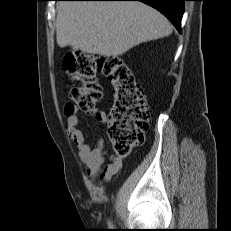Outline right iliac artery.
<instances>
[{
	"label": "right iliac artery",
	"mask_w": 231,
	"mask_h": 231,
	"mask_svg": "<svg viewBox=\"0 0 231 231\" xmlns=\"http://www.w3.org/2000/svg\"><path fill=\"white\" fill-rule=\"evenodd\" d=\"M108 226L110 227V228H113V224H112V222H108Z\"/></svg>",
	"instance_id": "right-iliac-artery-1"
}]
</instances>
